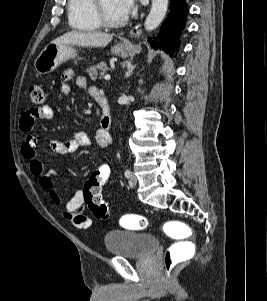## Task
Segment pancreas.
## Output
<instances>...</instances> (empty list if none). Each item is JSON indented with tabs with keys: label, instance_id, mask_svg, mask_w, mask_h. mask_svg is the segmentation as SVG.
<instances>
[{
	"label": "pancreas",
	"instance_id": "1",
	"mask_svg": "<svg viewBox=\"0 0 267 301\" xmlns=\"http://www.w3.org/2000/svg\"><path fill=\"white\" fill-rule=\"evenodd\" d=\"M109 68L104 62L97 63L87 69V73L92 80H96L98 74L104 75Z\"/></svg>",
	"mask_w": 267,
	"mask_h": 301
}]
</instances>
